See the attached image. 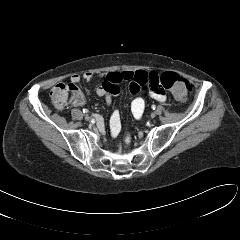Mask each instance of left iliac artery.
<instances>
[{
	"mask_svg": "<svg viewBox=\"0 0 240 240\" xmlns=\"http://www.w3.org/2000/svg\"><path fill=\"white\" fill-rule=\"evenodd\" d=\"M152 109L155 110V109H156V106H155V105H152Z\"/></svg>",
	"mask_w": 240,
	"mask_h": 240,
	"instance_id": "44dca946",
	"label": "left iliac artery"
}]
</instances>
